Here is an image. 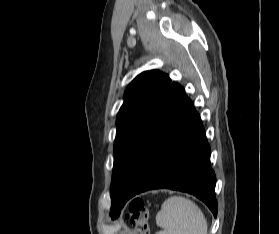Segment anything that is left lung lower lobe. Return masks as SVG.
Returning a JSON list of instances; mask_svg holds the SVG:
<instances>
[{
	"instance_id": "left-lung-lower-lobe-1",
	"label": "left lung lower lobe",
	"mask_w": 279,
	"mask_h": 234,
	"mask_svg": "<svg viewBox=\"0 0 279 234\" xmlns=\"http://www.w3.org/2000/svg\"><path fill=\"white\" fill-rule=\"evenodd\" d=\"M158 188L188 192L217 215L215 174L199 114L182 86L172 83L139 145L122 189L124 205Z\"/></svg>"
}]
</instances>
